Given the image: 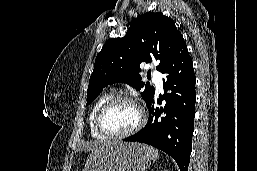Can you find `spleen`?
<instances>
[{"label": "spleen", "instance_id": "obj_1", "mask_svg": "<svg viewBox=\"0 0 257 171\" xmlns=\"http://www.w3.org/2000/svg\"><path fill=\"white\" fill-rule=\"evenodd\" d=\"M151 156V159L153 161H156L158 159V152L156 150H154L153 148L147 147Z\"/></svg>", "mask_w": 257, "mask_h": 171}]
</instances>
